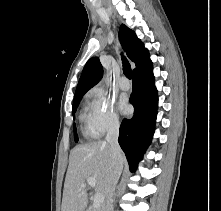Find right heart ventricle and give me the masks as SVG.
<instances>
[{
	"mask_svg": "<svg viewBox=\"0 0 221 211\" xmlns=\"http://www.w3.org/2000/svg\"><path fill=\"white\" fill-rule=\"evenodd\" d=\"M81 122L83 124V133L88 137H96L97 135L93 132L89 124V114L86 111H83L80 116Z\"/></svg>",
	"mask_w": 221,
	"mask_h": 211,
	"instance_id": "e07e8e85",
	"label": "right heart ventricle"
}]
</instances>
